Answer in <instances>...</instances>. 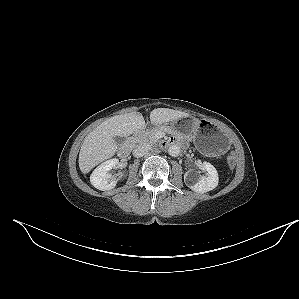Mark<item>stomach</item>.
Listing matches in <instances>:
<instances>
[{
	"label": "stomach",
	"instance_id": "obj_1",
	"mask_svg": "<svg viewBox=\"0 0 299 299\" xmlns=\"http://www.w3.org/2000/svg\"><path fill=\"white\" fill-rule=\"evenodd\" d=\"M171 128L189 134L196 147L205 154H218L227 146L225 132L218 125L206 120L185 117L173 121Z\"/></svg>",
	"mask_w": 299,
	"mask_h": 299
}]
</instances>
